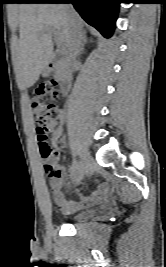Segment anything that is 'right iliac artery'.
I'll return each mask as SVG.
<instances>
[{"mask_svg": "<svg viewBox=\"0 0 166 267\" xmlns=\"http://www.w3.org/2000/svg\"><path fill=\"white\" fill-rule=\"evenodd\" d=\"M71 169H72V177H75L80 170V162L78 160L74 159Z\"/></svg>", "mask_w": 166, "mask_h": 267, "instance_id": "82829eb1", "label": "right iliac artery"}]
</instances>
